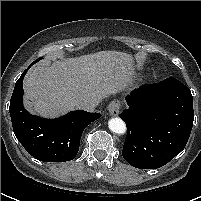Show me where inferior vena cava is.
Instances as JSON below:
<instances>
[{
    "instance_id": "602c4592",
    "label": "inferior vena cava",
    "mask_w": 201,
    "mask_h": 201,
    "mask_svg": "<svg viewBox=\"0 0 201 201\" xmlns=\"http://www.w3.org/2000/svg\"><path fill=\"white\" fill-rule=\"evenodd\" d=\"M76 107L86 111H94L95 107L100 104V98L97 97H80L75 101Z\"/></svg>"
}]
</instances>
